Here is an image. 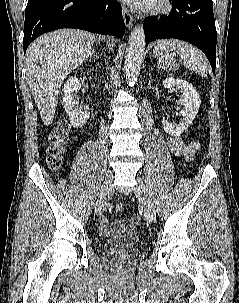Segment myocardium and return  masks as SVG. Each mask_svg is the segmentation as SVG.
<instances>
[{
    "label": "myocardium",
    "instance_id": "1",
    "mask_svg": "<svg viewBox=\"0 0 239 303\" xmlns=\"http://www.w3.org/2000/svg\"><path fill=\"white\" fill-rule=\"evenodd\" d=\"M172 8L170 0H153L146 11L152 15H161L168 13Z\"/></svg>",
    "mask_w": 239,
    "mask_h": 303
}]
</instances>
